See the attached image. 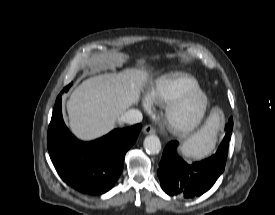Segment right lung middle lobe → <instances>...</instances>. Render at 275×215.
Returning a JSON list of instances; mask_svg holds the SVG:
<instances>
[{
  "label": "right lung middle lobe",
  "instance_id": "right-lung-middle-lobe-1",
  "mask_svg": "<svg viewBox=\"0 0 275 215\" xmlns=\"http://www.w3.org/2000/svg\"><path fill=\"white\" fill-rule=\"evenodd\" d=\"M71 86V84H69L68 86H66L64 89H63V91H62V93L65 91H68V89H69V87Z\"/></svg>",
  "mask_w": 275,
  "mask_h": 215
}]
</instances>
